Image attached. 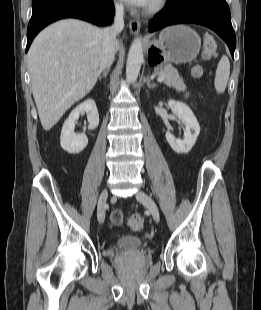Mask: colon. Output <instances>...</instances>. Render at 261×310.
I'll list each match as a JSON object with an SVG mask.
<instances>
[{
	"label": "colon",
	"instance_id": "1",
	"mask_svg": "<svg viewBox=\"0 0 261 310\" xmlns=\"http://www.w3.org/2000/svg\"><path fill=\"white\" fill-rule=\"evenodd\" d=\"M202 55L205 59H211L217 55V45L215 41L208 37L204 41ZM204 74V69L201 65H195L192 68V75L195 78H200ZM122 210L120 208H114L110 213V219L113 222L115 227L120 225L119 221L124 219V216L121 214ZM128 225L133 230H140L143 228L144 219L139 214H133L128 218Z\"/></svg>",
	"mask_w": 261,
	"mask_h": 310
}]
</instances>
